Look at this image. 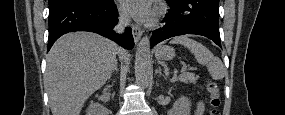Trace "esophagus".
Listing matches in <instances>:
<instances>
[{"label":"esophagus","mask_w":285,"mask_h":115,"mask_svg":"<svg viewBox=\"0 0 285 115\" xmlns=\"http://www.w3.org/2000/svg\"><path fill=\"white\" fill-rule=\"evenodd\" d=\"M132 33H133L135 43L139 42V40L143 34L142 28H140L137 25H132Z\"/></svg>","instance_id":"obj_1"}]
</instances>
